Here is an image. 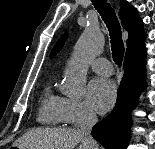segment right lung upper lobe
I'll list each match as a JSON object with an SVG mask.
<instances>
[{
  "instance_id": "cb5924a9",
  "label": "right lung upper lobe",
  "mask_w": 155,
  "mask_h": 149,
  "mask_svg": "<svg viewBox=\"0 0 155 149\" xmlns=\"http://www.w3.org/2000/svg\"><path fill=\"white\" fill-rule=\"evenodd\" d=\"M119 15L123 28L129 34L125 59H140L146 56V33L136 8L126 0H121Z\"/></svg>"
}]
</instances>
